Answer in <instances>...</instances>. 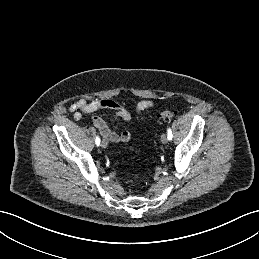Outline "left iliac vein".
I'll return each instance as SVG.
<instances>
[{"mask_svg": "<svg viewBox=\"0 0 259 259\" xmlns=\"http://www.w3.org/2000/svg\"><path fill=\"white\" fill-rule=\"evenodd\" d=\"M160 140H161V142H162L163 144H166V143L168 142V137H167V135H166V134H162Z\"/></svg>", "mask_w": 259, "mask_h": 259, "instance_id": "4c4485c4", "label": "left iliac vein"}]
</instances>
